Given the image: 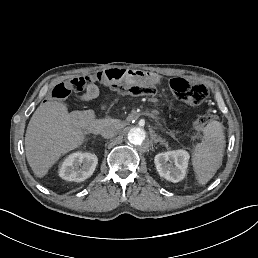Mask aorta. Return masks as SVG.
<instances>
[{"instance_id": "aorta-1", "label": "aorta", "mask_w": 258, "mask_h": 258, "mask_svg": "<svg viewBox=\"0 0 258 258\" xmlns=\"http://www.w3.org/2000/svg\"><path fill=\"white\" fill-rule=\"evenodd\" d=\"M127 139L133 145H141L146 139V132L141 127H133L129 130Z\"/></svg>"}]
</instances>
